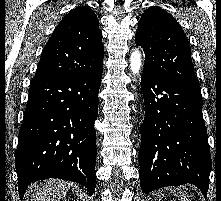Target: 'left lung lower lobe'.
Segmentation results:
<instances>
[{"instance_id": "1", "label": "left lung lower lobe", "mask_w": 221, "mask_h": 201, "mask_svg": "<svg viewBox=\"0 0 221 201\" xmlns=\"http://www.w3.org/2000/svg\"><path fill=\"white\" fill-rule=\"evenodd\" d=\"M141 87L145 104L139 150L142 191L192 183L206 197L211 157L200 87L144 70Z\"/></svg>"}]
</instances>
